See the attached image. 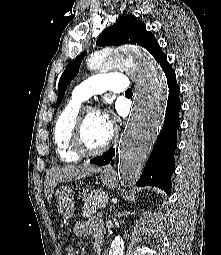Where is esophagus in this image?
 <instances>
[{"mask_svg": "<svg viewBox=\"0 0 221 255\" xmlns=\"http://www.w3.org/2000/svg\"><path fill=\"white\" fill-rule=\"evenodd\" d=\"M105 170H106V171H111V167H110V166H107V167L105 168Z\"/></svg>", "mask_w": 221, "mask_h": 255, "instance_id": "esophagus-1", "label": "esophagus"}]
</instances>
